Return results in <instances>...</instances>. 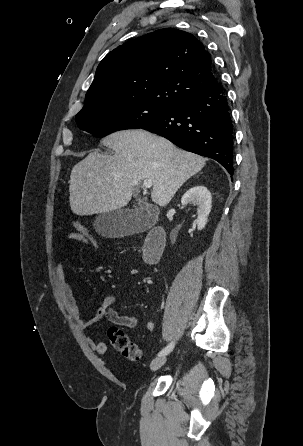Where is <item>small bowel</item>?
<instances>
[{"label":"small bowel","mask_w":303,"mask_h":446,"mask_svg":"<svg viewBox=\"0 0 303 446\" xmlns=\"http://www.w3.org/2000/svg\"><path fill=\"white\" fill-rule=\"evenodd\" d=\"M73 242H80L87 248L94 249L93 241L91 238L80 236L75 232L70 233L67 237L68 245H71ZM56 274L65 305L69 310L73 321L79 328L85 329L99 322L104 317L115 325L130 329L136 328L138 323L136 317L122 315L114 308V304L119 302L120 300V298L115 295L106 296L96 310L95 314L90 319L85 320L81 314L62 263H59L56 266ZM154 328L155 323L153 321L147 323V329L149 331L154 330ZM87 341L90 347L97 353L104 354L107 351V345L104 342L97 341L91 337H88Z\"/></svg>","instance_id":"c3829d8e"}]
</instances>
